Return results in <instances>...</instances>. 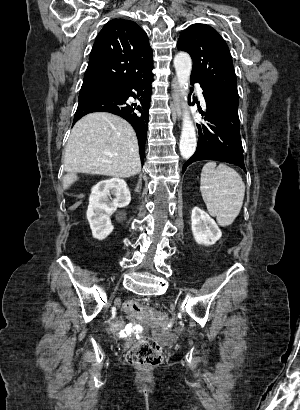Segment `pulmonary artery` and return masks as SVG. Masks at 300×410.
Instances as JSON below:
<instances>
[{
    "label": "pulmonary artery",
    "instance_id": "e3ab8cb5",
    "mask_svg": "<svg viewBox=\"0 0 300 410\" xmlns=\"http://www.w3.org/2000/svg\"><path fill=\"white\" fill-rule=\"evenodd\" d=\"M197 92H198V94H199V97H200V99H201V102L204 104V103H205V100H204V97H203V90H202V88H201V87H197Z\"/></svg>",
    "mask_w": 300,
    "mask_h": 410
}]
</instances>
